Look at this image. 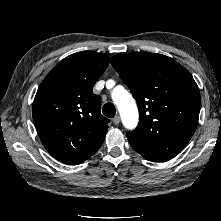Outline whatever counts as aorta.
<instances>
[{
  "label": "aorta",
  "mask_w": 221,
  "mask_h": 221,
  "mask_svg": "<svg viewBox=\"0 0 221 221\" xmlns=\"http://www.w3.org/2000/svg\"><path fill=\"white\" fill-rule=\"evenodd\" d=\"M112 99L116 104L123 125L128 129H133L138 123V108L131 94L123 88H116L112 93Z\"/></svg>",
  "instance_id": "aorta-1"
}]
</instances>
